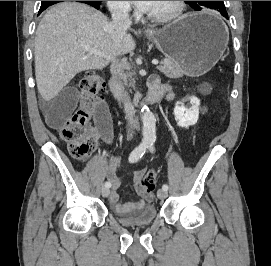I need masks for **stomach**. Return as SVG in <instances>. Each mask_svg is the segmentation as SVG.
Returning a JSON list of instances; mask_svg holds the SVG:
<instances>
[{
    "instance_id": "stomach-1",
    "label": "stomach",
    "mask_w": 271,
    "mask_h": 266,
    "mask_svg": "<svg viewBox=\"0 0 271 266\" xmlns=\"http://www.w3.org/2000/svg\"><path fill=\"white\" fill-rule=\"evenodd\" d=\"M146 37L169 59L179 63L187 76L198 77L208 72L222 57L229 32L215 14H187Z\"/></svg>"
}]
</instances>
